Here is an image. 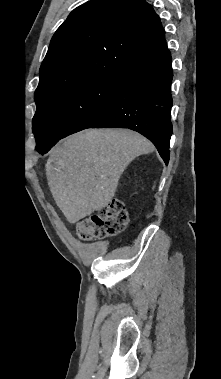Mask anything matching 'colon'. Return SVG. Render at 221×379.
Returning a JSON list of instances; mask_svg holds the SVG:
<instances>
[{
    "label": "colon",
    "mask_w": 221,
    "mask_h": 379,
    "mask_svg": "<svg viewBox=\"0 0 221 379\" xmlns=\"http://www.w3.org/2000/svg\"><path fill=\"white\" fill-rule=\"evenodd\" d=\"M128 220L124 203L113 200L97 213L80 220L76 227L77 235L84 241L114 236L126 228Z\"/></svg>",
    "instance_id": "obj_1"
}]
</instances>
